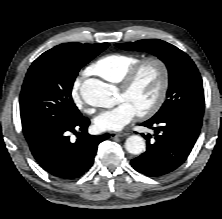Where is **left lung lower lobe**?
<instances>
[{"label":"left lung lower lobe","mask_w":222,"mask_h":219,"mask_svg":"<svg viewBox=\"0 0 222 219\" xmlns=\"http://www.w3.org/2000/svg\"><path fill=\"white\" fill-rule=\"evenodd\" d=\"M141 125L154 130L155 142L150 143V134H142L147 150L131 164L138 172L154 177L175 170L187 159L199 136L202 119L174 112Z\"/></svg>","instance_id":"obj_1"}]
</instances>
